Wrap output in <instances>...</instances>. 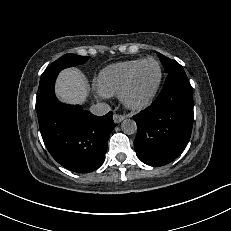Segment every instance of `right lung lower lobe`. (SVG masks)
Instances as JSON below:
<instances>
[{"label":"right lung lower lobe","instance_id":"obj_1","mask_svg":"<svg viewBox=\"0 0 231 231\" xmlns=\"http://www.w3.org/2000/svg\"><path fill=\"white\" fill-rule=\"evenodd\" d=\"M58 73L40 80L36 111L40 132L52 157L63 167L88 173L105 158L108 138L115 124L112 112L95 116L79 105L57 100L54 83Z\"/></svg>","mask_w":231,"mask_h":231}]
</instances>
